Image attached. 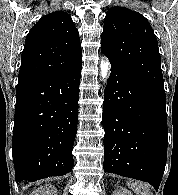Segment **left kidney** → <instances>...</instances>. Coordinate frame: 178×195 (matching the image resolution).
Instances as JSON below:
<instances>
[{
    "label": "left kidney",
    "mask_w": 178,
    "mask_h": 195,
    "mask_svg": "<svg viewBox=\"0 0 178 195\" xmlns=\"http://www.w3.org/2000/svg\"><path fill=\"white\" fill-rule=\"evenodd\" d=\"M112 195H133V194L126 188H118L113 192Z\"/></svg>",
    "instance_id": "obj_1"
}]
</instances>
